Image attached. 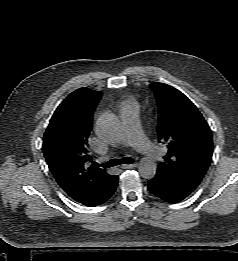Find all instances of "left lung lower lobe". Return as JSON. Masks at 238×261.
Here are the masks:
<instances>
[{
    "mask_svg": "<svg viewBox=\"0 0 238 261\" xmlns=\"http://www.w3.org/2000/svg\"><path fill=\"white\" fill-rule=\"evenodd\" d=\"M148 190L156 197L169 203L180 202L192 193V191L158 172L148 181Z\"/></svg>",
    "mask_w": 238,
    "mask_h": 261,
    "instance_id": "left-lung-lower-lobe-1",
    "label": "left lung lower lobe"
}]
</instances>
